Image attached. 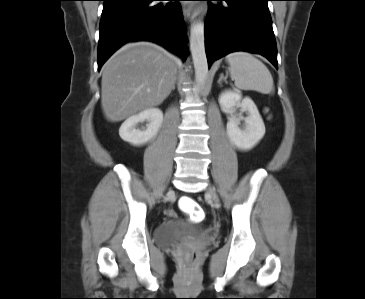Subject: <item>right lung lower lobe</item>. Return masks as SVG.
I'll list each match as a JSON object with an SVG mask.
<instances>
[{"instance_id":"98d812e1","label":"right lung lower lobe","mask_w":365,"mask_h":299,"mask_svg":"<svg viewBox=\"0 0 365 299\" xmlns=\"http://www.w3.org/2000/svg\"><path fill=\"white\" fill-rule=\"evenodd\" d=\"M98 70L129 41L156 42L183 60L187 58L186 29L180 0H102Z\"/></svg>"}]
</instances>
